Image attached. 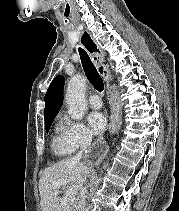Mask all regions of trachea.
<instances>
[{
  "label": "trachea",
  "mask_w": 179,
  "mask_h": 211,
  "mask_svg": "<svg viewBox=\"0 0 179 211\" xmlns=\"http://www.w3.org/2000/svg\"><path fill=\"white\" fill-rule=\"evenodd\" d=\"M79 53H80L82 67L84 69V72H85L88 80L98 91H100V92L103 91L104 90L103 80L101 79L100 75L98 74L89 55L86 53V51H84L81 48H79Z\"/></svg>",
  "instance_id": "1"
}]
</instances>
